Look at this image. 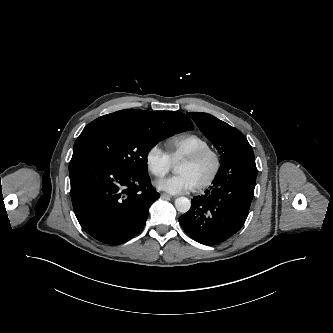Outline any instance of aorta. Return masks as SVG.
I'll use <instances>...</instances> for the list:
<instances>
[{
  "label": "aorta",
  "instance_id": "aorta-1",
  "mask_svg": "<svg viewBox=\"0 0 333 333\" xmlns=\"http://www.w3.org/2000/svg\"><path fill=\"white\" fill-rule=\"evenodd\" d=\"M175 207L180 213H186L191 207V202L186 197H179L175 200Z\"/></svg>",
  "mask_w": 333,
  "mask_h": 333
}]
</instances>
